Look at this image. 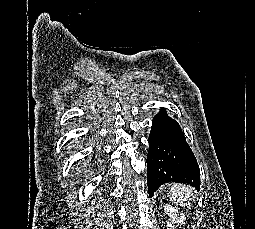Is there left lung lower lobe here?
Returning a JSON list of instances; mask_svg holds the SVG:
<instances>
[{"mask_svg": "<svg viewBox=\"0 0 255 229\" xmlns=\"http://www.w3.org/2000/svg\"><path fill=\"white\" fill-rule=\"evenodd\" d=\"M147 156V185L149 196L164 183H187L200 189L197 160L186 142L181 127L165 111L152 121Z\"/></svg>", "mask_w": 255, "mask_h": 229, "instance_id": "left-lung-lower-lobe-1", "label": "left lung lower lobe"}]
</instances>
